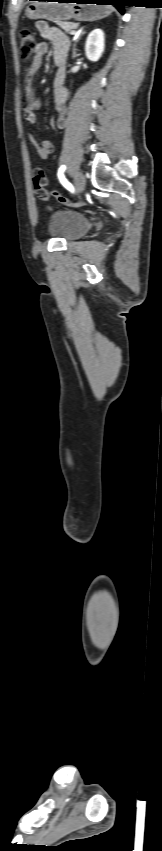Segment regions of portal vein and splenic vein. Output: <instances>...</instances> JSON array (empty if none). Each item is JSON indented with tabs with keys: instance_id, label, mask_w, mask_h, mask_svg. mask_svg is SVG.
Listing matches in <instances>:
<instances>
[{
	"instance_id": "18ae733b",
	"label": "portal vein and splenic vein",
	"mask_w": 162,
	"mask_h": 851,
	"mask_svg": "<svg viewBox=\"0 0 162 851\" xmlns=\"http://www.w3.org/2000/svg\"><path fill=\"white\" fill-rule=\"evenodd\" d=\"M75 34H76V31L70 32V35H75Z\"/></svg>"
}]
</instances>
